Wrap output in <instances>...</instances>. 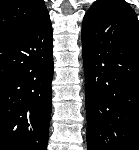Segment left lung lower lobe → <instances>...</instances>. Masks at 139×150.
Returning <instances> with one entry per match:
<instances>
[{
	"mask_svg": "<svg viewBox=\"0 0 139 150\" xmlns=\"http://www.w3.org/2000/svg\"><path fill=\"white\" fill-rule=\"evenodd\" d=\"M88 150H139V21L123 0H99L82 25Z\"/></svg>",
	"mask_w": 139,
	"mask_h": 150,
	"instance_id": "1",
	"label": "left lung lower lobe"
}]
</instances>
